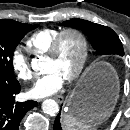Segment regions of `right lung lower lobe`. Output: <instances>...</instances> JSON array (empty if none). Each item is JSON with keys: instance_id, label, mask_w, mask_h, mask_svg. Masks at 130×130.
<instances>
[{"instance_id": "1", "label": "right lung lower lobe", "mask_w": 130, "mask_h": 130, "mask_svg": "<svg viewBox=\"0 0 130 130\" xmlns=\"http://www.w3.org/2000/svg\"><path fill=\"white\" fill-rule=\"evenodd\" d=\"M21 90L17 80L0 76V130H19L21 119L27 111L37 106L35 101L15 102Z\"/></svg>"}]
</instances>
